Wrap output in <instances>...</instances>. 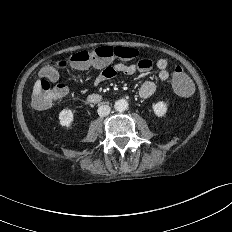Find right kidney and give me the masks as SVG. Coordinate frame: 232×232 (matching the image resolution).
<instances>
[{
    "mask_svg": "<svg viewBox=\"0 0 232 232\" xmlns=\"http://www.w3.org/2000/svg\"><path fill=\"white\" fill-rule=\"evenodd\" d=\"M74 114L70 109H63L59 114V122L64 127H70L73 122Z\"/></svg>",
    "mask_w": 232,
    "mask_h": 232,
    "instance_id": "obj_1",
    "label": "right kidney"
}]
</instances>
